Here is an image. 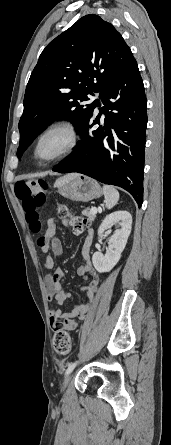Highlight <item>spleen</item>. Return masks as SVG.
Returning a JSON list of instances; mask_svg holds the SVG:
<instances>
[{
  "label": "spleen",
  "instance_id": "1",
  "mask_svg": "<svg viewBox=\"0 0 171 445\" xmlns=\"http://www.w3.org/2000/svg\"><path fill=\"white\" fill-rule=\"evenodd\" d=\"M103 194L105 198V206L107 209L113 208L119 200V192L109 185L103 186Z\"/></svg>",
  "mask_w": 171,
  "mask_h": 445
}]
</instances>
